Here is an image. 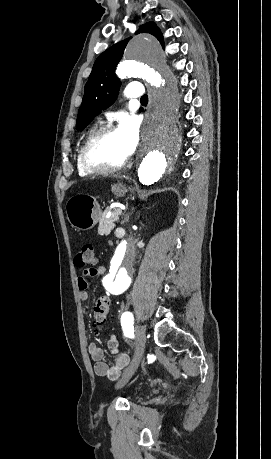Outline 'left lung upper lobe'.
<instances>
[{
    "label": "left lung upper lobe",
    "mask_w": 271,
    "mask_h": 459,
    "mask_svg": "<svg viewBox=\"0 0 271 459\" xmlns=\"http://www.w3.org/2000/svg\"><path fill=\"white\" fill-rule=\"evenodd\" d=\"M155 36L164 48L163 36L154 22H148L136 32ZM129 39L121 41L96 59L84 89V97L78 111L76 128L83 130L102 109L109 107L117 98L120 81L115 75L117 64L122 58Z\"/></svg>",
    "instance_id": "left-lung-upper-lobe-1"
}]
</instances>
